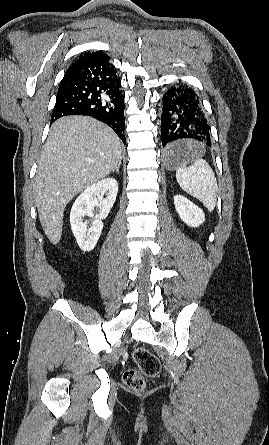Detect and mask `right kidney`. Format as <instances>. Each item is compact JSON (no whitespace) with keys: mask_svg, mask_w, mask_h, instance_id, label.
I'll use <instances>...</instances> for the list:
<instances>
[{"mask_svg":"<svg viewBox=\"0 0 269 445\" xmlns=\"http://www.w3.org/2000/svg\"><path fill=\"white\" fill-rule=\"evenodd\" d=\"M117 192V181L106 178L87 187L75 200L70 212V224L81 250L89 252L95 248L103 229L102 220L113 207ZM94 207L99 208V214L94 217L91 228L87 229L83 217H93Z\"/></svg>","mask_w":269,"mask_h":445,"instance_id":"1","label":"right kidney"}]
</instances>
